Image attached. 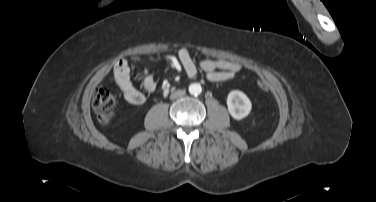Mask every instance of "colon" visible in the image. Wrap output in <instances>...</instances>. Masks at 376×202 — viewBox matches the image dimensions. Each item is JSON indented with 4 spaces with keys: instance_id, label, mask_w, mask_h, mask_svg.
<instances>
[{
    "instance_id": "colon-1",
    "label": "colon",
    "mask_w": 376,
    "mask_h": 202,
    "mask_svg": "<svg viewBox=\"0 0 376 202\" xmlns=\"http://www.w3.org/2000/svg\"><path fill=\"white\" fill-rule=\"evenodd\" d=\"M257 86L262 91L269 89V84L263 78L257 80ZM92 107L103 124H109L114 116L115 97L107 87H100L92 98Z\"/></svg>"
}]
</instances>
